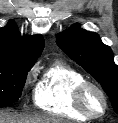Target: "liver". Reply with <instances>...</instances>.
I'll return each mask as SVG.
<instances>
[{"label": "liver", "mask_w": 118, "mask_h": 123, "mask_svg": "<svg viewBox=\"0 0 118 123\" xmlns=\"http://www.w3.org/2000/svg\"><path fill=\"white\" fill-rule=\"evenodd\" d=\"M0 123H68L59 117L48 114H19L0 111Z\"/></svg>", "instance_id": "1"}]
</instances>
